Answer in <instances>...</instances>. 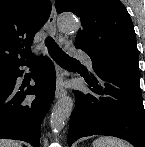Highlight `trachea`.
<instances>
[{
  "label": "trachea",
  "mask_w": 145,
  "mask_h": 147,
  "mask_svg": "<svg viewBox=\"0 0 145 147\" xmlns=\"http://www.w3.org/2000/svg\"><path fill=\"white\" fill-rule=\"evenodd\" d=\"M46 46L48 48V52L53 60L59 64L60 66H71L78 64L79 62L71 57H69L54 41V39L50 36L46 38Z\"/></svg>",
  "instance_id": "3493384b"
}]
</instances>
